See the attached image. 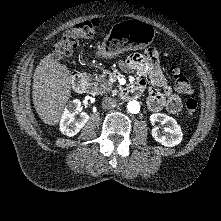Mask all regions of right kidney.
I'll use <instances>...</instances> for the list:
<instances>
[{
  "mask_svg": "<svg viewBox=\"0 0 221 221\" xmlns=\"http://www.w3.org/2000/svg\"><path fill=\"white\" fill-rule=\"evenodd\" d=\"M80 106L81 102L79 99L70 101L60 120V131L68 137L75 136L89 120V115L87 113H79ZM78 113L79 117L76 118Z\"/></svg>",
  "mask_w": 221,
  "mask_h": 221,
  "instance_id": "right-kidney-1",
  "label": "right kidney"
}]
</instances>
